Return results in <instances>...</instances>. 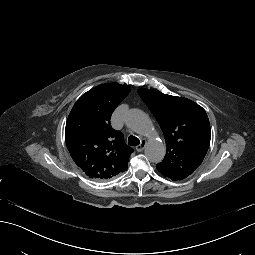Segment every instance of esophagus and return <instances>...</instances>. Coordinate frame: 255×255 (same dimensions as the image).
<instances>
[{
	"instance_id": "obj_1",
	"label": "esophagus",
	"mask_w": 255,
	"mask_h": 255,
	"mask_svg": "<svg viewBox=\"0 0 255 255\" xmlns=\"http://www.w3.org/2000/svg\"><path fill=\"white\" fill-rule=\"evenodd\" d=\"M145 145H146V141L141 140V143L138 146H136L135 149L137 150V152H142L144 150Z\"/></svg>"
}]
</instances>
